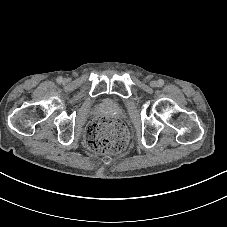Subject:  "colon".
Segmentation results:
<instances>
[{"mask_svg": "<svg viewBox=\"0 0 227 227\" xmlns=\"http://www.w3.org/2000/svg\"><path fill=\"white\" fill-rule=\"evenodd\" d=\"M128 134L123 123L101 116L93 120L85 132L86 146L97 153H118L125 149Z\"/></svg>", "mask_w": 227, "mask_h": 227, "instance_id": "obj_1", "label": "colon"}]
</instances>
